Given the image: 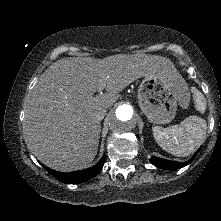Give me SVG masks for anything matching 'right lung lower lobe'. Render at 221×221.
<instances>
[{"instance_id":"obj_1","label":"right lung lower lobe","mask_w":221,"mask_h":221,"mask_svg":"<svg viewBox=\"0 0 221 221\" xmlns=\"http://www.w3.org/2000/svg\"><path fill=\"white\" fill-rule=\"evenodd\" d=\"M104 160H105V154L103 155L102 159L93 167L83 171H75L69 173L56 172L44 165L43 167L59 181L63 183L73 184V183H81L95 177L102 169L104 165Z\"/></svg>"}]
</instances>
